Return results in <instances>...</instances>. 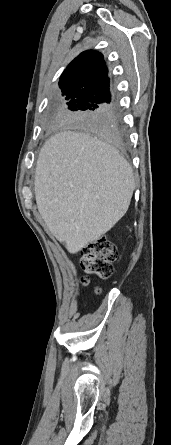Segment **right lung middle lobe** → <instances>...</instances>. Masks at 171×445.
Returning a JSON list of instances; mask_svg holds the SVG:
<instances>
[{
    "instance_id": "obj_1",
    "label": "right lung middle lobe",
    "mask_w": 171,
    "mask_h": 445,
    "mask_svg": "<svg viewBox=\"0 0 171 445\" xmlns=\"http://www.w3.org/2000/svg\"><path fill=\"white\" fill-rule=\"evenodd\" d=\"M63 95L65 96L64 103L57 113L59 121L76 124L105 136L99 120L110 103L89 94L66 92Z\"/></svg>"
}]
</instances>
